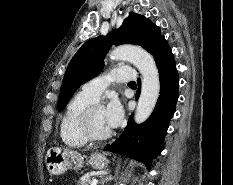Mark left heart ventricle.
Listing matches in <instances>:
<instances>
[{"label":"left heart ventricle","instance_id":"obj_1","mask_svg":"<svg viewBox=\"0 0 233 185\" xmlns=\"http://www.w3.org/2000/svg\"><path fill=\"white\" fill-rule=\"evenodd\" d=\"M90 121L92 131L96 135H104L111 130L105 117L104 108L95 109L91 115Z\"/></svg>","mask_w":233,"mask_h":185}]
</instances>
